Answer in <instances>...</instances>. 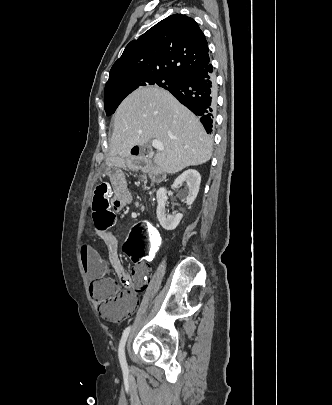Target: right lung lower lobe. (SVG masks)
<instances>
[{"mask_svg": "<svg viewBox=\"0 0 332 405\" xmlns=\"http://www.w3.org/2000/svg\"><path fill=\"white\" fill-rule=\"evenodd\" d=\"M167 90L193 113L200 116V121L207 133L212 132L216 106V81L210 62L185 74L176 86Z\"/></svg>", "mask_w": 332, "mask_h": 405, "instance_id": "obj_1", "label": "right lung lower lobe"}]
</instances>
